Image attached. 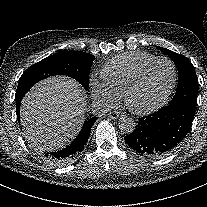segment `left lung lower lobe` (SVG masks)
<instances>
[{
	"mask_svg": "<svg viewBox=\"0 0 207 207\" xmlns=\"http://www.w3.org/2000/svg\"><path fill=\"white\" fill-rule=\"evenodd\" d=\"M195 110L183 104L167 105L157 112L139 118L138 126L125 142L146 157L170 153L190 131Z\"/></svg>",
	"mask_w": 207,
	"mask_h": 207,
	"instance_id": "left-lung-lower-lobe-1",
	"label": "left lung lower lobe"
}]
</instances>
